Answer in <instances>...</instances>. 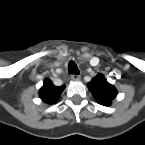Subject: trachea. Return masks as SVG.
<instances>
[{
  "instance_id": "obj_1",
  "label": "trachea",
  "mask_w": 145,
  "mask_h": 145,
  "mask_svg": "<svg viewBox=\"0 0 145 145\" xmlns=\"http://www.w3.org/2000/svg\"><path fill=\"white\" fill-rule=\"evenodd\" d=\"M68 72L70 74H79V69L74 61L68 63Z\"/></svg>"
}]
</instances>
